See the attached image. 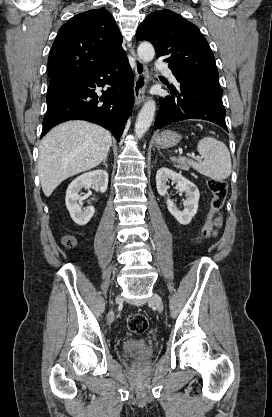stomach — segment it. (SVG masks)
I'll return each instance as SVG.
<instances>
[{
  "mask_svg": "<svg viewBox=\"0 0 272 417\" xmlns=\"http://www.w3.org/2000/svg\"><path fill=\"white\" fill-rule=\"evenodd\" d=\"M181 140V136L173 131H163L155 138V145L158 148H170L176 146Z\"/></svg>",
  "mask_w": 272,
  "mask_h": 417,
  "instance_id": "0dacf381",
  "label": "stomach"
}]
</instances>
